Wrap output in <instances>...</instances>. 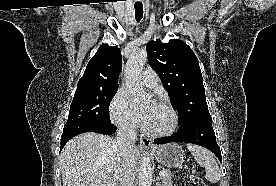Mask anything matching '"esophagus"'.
Returning <instances> with one entry per match:
<instances>
[{
  "instance_id": "34e87169",
  "label": "esophagus",
  "mask_w": 276,
  "mask_h": 186,
  "mask_svg": "<svg viewBox=\"0 0 276 186\" xmlns=\"http://www.w3.org/2000/svg\"><path fill=\"white\" fill-rule=\"evenodd\" d=\"M140 142V146L143 148H147V149H152L153 148V142L150 138L145 137V136H141L139 139Z\"/></svg>"
}]
</instances>
